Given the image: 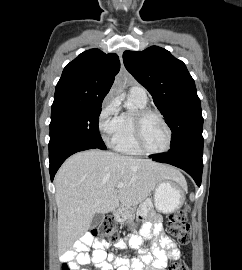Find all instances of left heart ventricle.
Instances as JSON below:
<instances>
[{"mask_svg": "<svg viewBox=\"0 0 242 270\" xmlns=\"http://www.w3.org/2000/svg\"><path fill=\"white\" fill-rule=\"evenodd\" d=\"M143 139L146 147L159 151L166 147L167 131L162 122L156 117H150L144 125Z\"/></svg>", "mask_w": 242, "mask_h": 270, "instance_id": "obj_1", "label": "left heart ventricle"}]
</instances>
